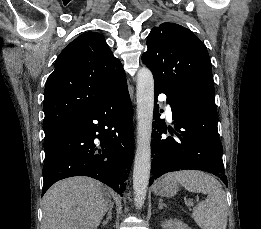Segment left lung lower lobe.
Listing matches in <instances>:
<instances>
[{
	"mask_svg": "<svg viewBox=\"0 0 261 229\" xmlns=\"http://www.w3.org/2000/svg\"><path fill=\"white\" fill-rule=\"evenodd\" d=\"M154 90L155 97L160 93L167 95L176 131L169 130L172 135L175 133L173 136L162 135L167 133V127L156 106L152 130L153 175L149 185L165 173L187 169L212 173L227 185L215 102L196 94L169 92L157 84Z\"/></svg>",
	"mask_w": 261,
	"mask_h": 229,
	"instance_id": "left-lung-lower-lobe-1",
	"label": "left lung lower lobe"
}]
</instances>
